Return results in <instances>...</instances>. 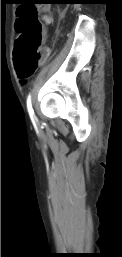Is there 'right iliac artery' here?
<instances>
[{
	"label": "right iliac artery",
	"instance_id": "obj_1",
	"mask_svg": "<svg viewBox=\"0 0 122 257\" xmlns=\"http://www.w3.org/2000/svg\"><path fill=\"white\" fill-rule=\"evenodd\" d=\"M27 109H28V113L30 115L31 120L34 123L36 118H35L34 110L32 108L31 96L30 95L27 98Z\"/></svg>",
	"mask_w": 122,
	"mask_h": 257
}]
</instances>
